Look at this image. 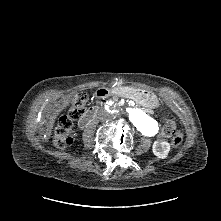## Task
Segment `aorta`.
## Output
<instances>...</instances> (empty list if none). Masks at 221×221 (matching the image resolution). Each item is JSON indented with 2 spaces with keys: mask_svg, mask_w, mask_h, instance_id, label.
Here are the masks:
<instances>
[{
  "mask_svg": "<svg viewBox=\"0 0 221 221\" xmlns=\"http://www.w3.org/2000/svg\"><path fill=\"white\" fill-rule=\"evenodd\" d=\"M126 112L130 121L147 136H153L157 133V123L149 118L143 111L133 107H127Z\"/></svg>",
  "mask_w": 221,
  "mask_h": 221,
  "instance_id": "762f6f07",
  "label": "aorta"
}]
</instances>
